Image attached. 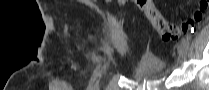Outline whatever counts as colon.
<instances>
[{"instance_id":"1","label":"colon","mask_w":209,"mask_h":90,"mask_svg":"<svg viewBox=\"0 0 209 90\" xmlns=\"http://www.w3.org/2000/svg\"><path fill=\"white\" fill-rule=\"evenodd\" d=\"M136 3L150 20L161 38L165 41L173 42L189 34L197 25L202 23L209 9V0H200L197 9L189 19L179 25H174L162 16L152 0H136Z\"/></svg>"}]
</instances>
